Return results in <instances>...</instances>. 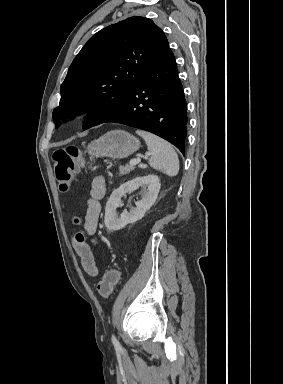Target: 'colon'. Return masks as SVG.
<instances>
[{"label": "colon", "instance_id": "5ec220e1", "mask_svg": "<svg viewBox=\"0 0 283 384\" xmlns=\"http://www.w3.org/2000/svg\"><path fill=\"white\" fill-rule=\"evenodd\" d=\"M53 163L55 176L60 188L62 190H67L79 169V149L75 146L57 149L53 153ZM75 222L80 223V220L76 218ZM76 240L78 242H85L84 234L81 232L77 233ZM119 278L120 275L116 269L106 271L102 279L97 284V291L99 295L104 299L109 298L117 285Z\"/></svg>", "mask_w": 283, "mask_h": 384}]
</instances>
